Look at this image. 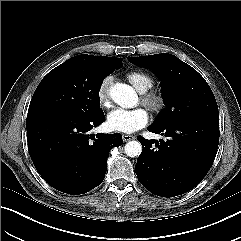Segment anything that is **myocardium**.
<instances>
[{"instance_id":"obj_1","label":"myocardium","mask_w":241,"mask_h":241,"mask_svg":"<svg viewBox=\"0 0 241 241\" xmlns=\"http://www.w3.org/2000/svg\"><path fill=\"white\" fill-rule=\"evenodd\" d=\"M142 103L152 112L159 113L164 108L165 100L162 94L156 91H147L143 93Z\"/></svg>"}]
</instances>
